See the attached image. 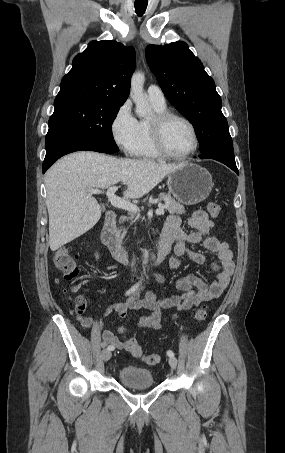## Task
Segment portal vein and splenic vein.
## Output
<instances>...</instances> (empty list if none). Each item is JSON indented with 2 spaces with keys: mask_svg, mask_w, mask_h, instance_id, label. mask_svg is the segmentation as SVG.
I'll use <instances>...</instances> for the list:
<instances>
[{
  "mask_svg": "<svg viewBox=\"0 0 285 453\" xmlns=\"http://www.w3.org/2000/svg\"><path fill=\"white\" fill-rule=\"evenodd\" d=\"M117 189H118L117 186H111L106 191V195L109 198V200L111 202V205L114 206V207H117V208H121V209H124V210H127V211H131V212L139 211V208L136 205L130 203L129 201H127L125 199H122V198L116 196L115 192L117 191ZM88 191L91 194L104 193L102 190H99V189H88ZM155 212H156L157 215L164 214V207L160 206L158 209H156Z\"/></svg>",
  "mask_w": 285,
  "mask_h": 453,
  "instance_id": "1",
  "label": "portal vein and splenic vein"
}]
</instances>
